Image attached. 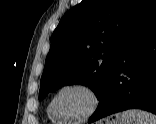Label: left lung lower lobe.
I'll return each instance as SVG.
<instances>
[{"label":"left lung lower lobe","mask_w":156,"mask_h":124,"mask_svg":"<svg viewBox=\"0 0 156 124\" xmlns=\"http://www.w3.org/2000/svg\"><path fill=\"white\" fill-rule=\"evenodd\" d=\"M88 123L127 109L156 115V6L125 46Z\"/></svg>","instance_id":"0a47b994"}]
</instances>
